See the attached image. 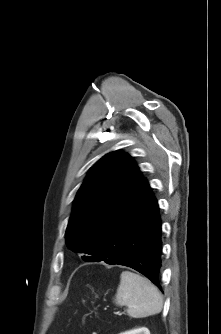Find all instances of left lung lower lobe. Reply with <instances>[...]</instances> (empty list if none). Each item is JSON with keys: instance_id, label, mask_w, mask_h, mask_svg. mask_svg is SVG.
Masks as SVG:
<instances>
[{"instance_id": "0a47b994", "label": "left lung lower lobe", "mask_w": 221, "mask_h": 334, "mask_svg": "<svg viewBox=\"0 0 221 334\" xmlns=\"http://www.w3.org/2000/svg\"><path fill=\"white\" fill-rule=\"evenodd\" d=\"M161 253L159 207L143 179L104 232L92 262L131 267L161 289Z\"/></svg>"}]
</instances>
